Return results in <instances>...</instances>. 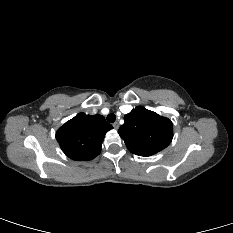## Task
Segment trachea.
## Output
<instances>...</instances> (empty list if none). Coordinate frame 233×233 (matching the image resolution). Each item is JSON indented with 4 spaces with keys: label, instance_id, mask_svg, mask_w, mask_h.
<instances>
[{
    "label": "trachea",
    "instance_id": "3493384b",
    "mask_svg": "<svg viewBox=\"0 0 233 233\" xmlns=\"http://www.w3.org/2000/svg\"><path fill=\"white\" fill-rule=\"evenodd\" d=\"M115 120H116V115H115V114L111 113V114H109V115L107 116V121H108L109 123H113Z\"/></svg>",
    "mask_w": 233,
    "mask_h": 233
}]
</instances>
